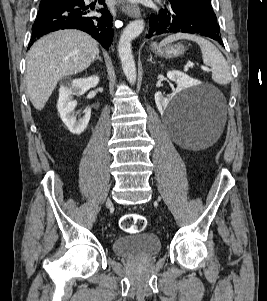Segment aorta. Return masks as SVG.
<instances>
[{
	"instance_id": "aorta-1",
	"label": "aorta",
	"mask_w": 267,
	"mask_h": 301,
	"mask_svg": "<svg viewBox=\"0 0 267 301\" xmlns=\"http://www.w3.org/2000/svg\"><path fill=\"white\" fill-rule=\"evenodd\" d=\"M144 21L141 19L130 22L123 30L118 44V54L122 69L130 84L136 82V66L132 55L131 42L144 30Z\"/></svg>"
}]
</instances>
